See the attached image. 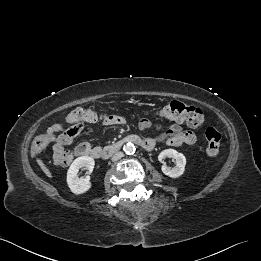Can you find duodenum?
Masks as SVG:
<instances>
[{"label": "duodenum", "instance_id": "duodenum-1", "mask_svg": "<svg viewBox=\"0 0 261 261\" xmlns=\"http://www.w3.org/2000/svg\"><path fill=\"white\" fill-rule=\"evenodd\" d=\"M127 143H135L144 148L145 150H152L154 148V141L150 139H145L138 135H130L114 144L106 146L103 150L99 152V156L102 158H108L114 153L120 151L124 145Z\"/></svg>", "mask_w": 261, "mask_h": 261}]
</instances>
